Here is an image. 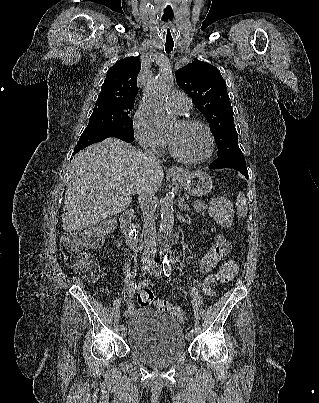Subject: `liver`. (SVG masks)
I'll use <instances>...</instances> for the list:
<instances>
[{"label": "liver", "instance_id": "6515ba94", "mask_svg": "<svg viewBox=\"0 0 319 403\" xmlns=\"http://www.w3.org/2000/svg\"><path fill=\"white\" fill-rule=\"evenodd\" d=\"M163 177L160 165L149 167L142 151L117 138L87 147L72 160L63 229L80 231L123 212L142 183L151 181L158 190Z\"/></svg>", "mask_w": 319, "mask_h": 403}]
</instances>
